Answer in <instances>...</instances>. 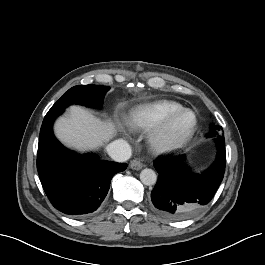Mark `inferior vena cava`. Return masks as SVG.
Wrapping results in <instances>:
<instances>
[{
	"label": "inferior vena cava",
	"instance_id": "obj_1",
	"mask_svg": "<svg viewBox=\"0 0 265 265\" xmlns=\"http://www.w3.org/2000/svg\"><path fill=\"white\" fill-rule=\"evenodd\" d=\"M106 150L108 155L117 162H125L130 159L132 155V149L127 141L123 139H118L111 142L107 147Z\"/></svg>",
	"mask_w": 265,
	"mask_h": 265
}]
</instances>
